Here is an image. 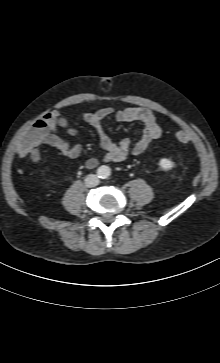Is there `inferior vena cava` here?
Wrapping results in <instances>:
<instances>
[{
	"instance_id": "obj_1",
	"label": "inferior vena cava",
	"mask_w": 220,
	"mask_h": 363,
	"mask_svg": "<svg viewBox=\"0 0 220 363\" xmlns=\"http://www.w3.org/2000/svg\"><path fill=\"white\" fill-rule=\"evenodd\" d=\"M85 184L87 187H95L99 184V179L96 175L90 174L86 177Z\"/></svg>"
}]
</instances>
